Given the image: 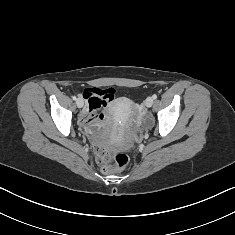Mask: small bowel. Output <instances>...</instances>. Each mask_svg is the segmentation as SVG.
I'll return each mask as SVG.
<instances>
[{
    "label": "small bowel",
    "mask_w": 235,
    "mask_h": 235,
    "mask_svg": "<svg viewBox=\"0 0 235 235\" xmlns=\"http://www.w3.org/2000/svg\"><path fill=\"white\" fill-rule=\"evenodd\" d=\"M104 90L97 88H86L82 91L81 97L85 100V108L81 112L80 121L87 129L112 125L118 117L123 114L128 117L131 111V103L125 97L103 98ZM101 108L105 110L99 112Z\"/></svg>",
    "instance_id": "1"
}]
</instances>
